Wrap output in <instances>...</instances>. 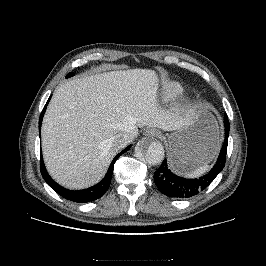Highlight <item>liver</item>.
Here are the masks:
<instances>
[{
  "mask_svg": "<svg viewBox=\"0 0 266 266\" xmlns=\"http://www.w3.org/2000/svg\"><path fill=\"white\" fill-rule=\"evenodd\" d=\"M151 69L111 71L58 86L42 123L46 168L61 185L83 189L99 182L117 150L111 139L138 128L181 129L187 120L161 108Z\"/></svg>",
  "mask_w": 266,
  "mask_h": 266,
  "instance_id": "liver-1",
  "label": "liver"
}]
</instances>
